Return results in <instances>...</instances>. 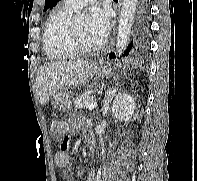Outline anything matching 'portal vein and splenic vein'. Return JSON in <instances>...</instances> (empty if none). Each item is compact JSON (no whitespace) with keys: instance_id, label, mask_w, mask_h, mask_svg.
Wrapping results in <instances>:
<instances>
[{"instance_id":"obj_1","label":"portal vein and splenic vein","mask_w":197,"mask_h":181,"mask_svg":"<svg viewBox=\"0 0 197 181\" xmlns=\"http://www.w3.org/2000/svg\"><path fill=\"white\" fill-rule=\"evenodd\" d=\"M97 107V102H92L91 104H89L88 106H87V109L88 110H93V109H95Z\"/></svg>"}]
</instances>
